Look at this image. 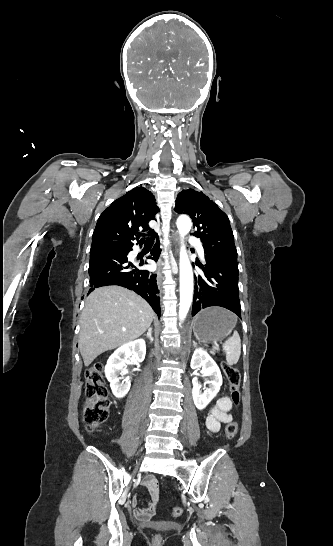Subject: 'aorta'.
Returning a JSON list of instances; mask_svg holds the SVG:
<instances>
[{
  "label": "aorta",
  "instance_id": "1",
  "mask_svg": "<svg viewBox=\"0 0 333 546\" xmlns=\"http://www.w3.org/2000/svg\"><path fill=\"white\" fill-rule=\"evenodd\" d=\"M177 228L181 237L187 235L191 229V220L186 215H180L177 219ZM193 297V271L188 258L186 247L182 244L180 249V304L179 319L183 321L189 311Z\"/></svg>",
  "mask_w": 333,
  "mask_h": 546
}]
</instances>
